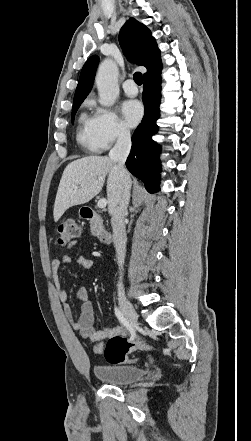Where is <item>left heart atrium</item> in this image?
Instances as JSON below:
<instances>
[{
  "mask_svg": "<svg viewBox=\"0 0 251 441\" xmlns=\"http://www.w3.org/2000/svg\"><path fill=\"white\" fill-rule=\"evenodd\" d=\"M143 106L137 100H127L122 104V114L128 126H136L143 117Z\"/></svg>",
  "mask_w": 251,
  "mask_h": 441,
  "instance_id": "1",
  "label": "left heart atrium"
}]
</instances>
